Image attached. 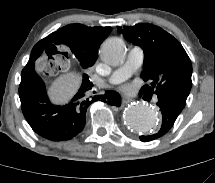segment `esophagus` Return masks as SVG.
Listing matches in <instances>:
<instances>
[{
	"label": "esophagus",
	"instance_id": "34e87169",
	"mask_svg": "<svg viewBox=\"0 0 215 183\" xmlns=\"http://www.w3.org/2000/svg\"><path fill=\"white\" fill-rule=\"evenodd\" d=\"M131 101H133L131 98L123 97L122 104L126 105V104L130 103Z\"/></svg>",
	"mask_w": 215,
	"mask_h": 183
}]
</instances>
